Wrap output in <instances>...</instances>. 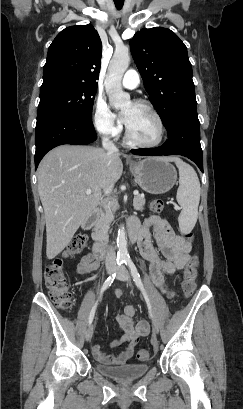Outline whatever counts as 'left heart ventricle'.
Returning <instances> with one entry per match:
<instances>
[{"mask_svg": "<svg viewBox=\"0 0 243 409\" xmlns=\"http://www.w3.org/2000/svg\"><path fill=\"white\" fill-rule=\"evenodd\" d=\"M122 113L128 115L127 126L134 137L148 142L158 138V125L146 108L128 103L122 108Z\"/></svg>", "mask_w": 243, "mask_h": 409, "instance_id": "left-heart-ventricle-1", "label": "left heart ventricle"}]
</instances>
